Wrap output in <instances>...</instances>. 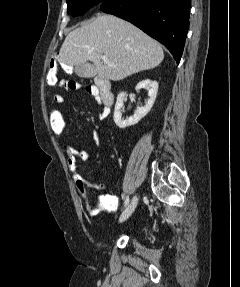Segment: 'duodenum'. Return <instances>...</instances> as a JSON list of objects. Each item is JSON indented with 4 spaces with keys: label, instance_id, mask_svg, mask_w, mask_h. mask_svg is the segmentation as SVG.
Instances as JSON below:
<instances>
[{
    "label": "duodenum",
    "instance_id": "410a0bca",
    "mask_svg": "<svg viewBox=\"0 0 240 287\" xmlns=\"http://www.w3.org/2000/svg\"><path fill=\"white\" fill-rule=\"evenodd\" d=\"M96 87L100 94V98L106 107H111L114 102V95L112 92V83L108 79H99Z\"/></svg>",
    "mask_w": 240,
    "mask_h": 287
}]
</instances>
